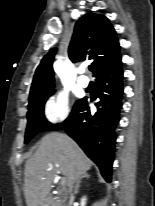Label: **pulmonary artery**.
I'll return each mask as SVG.
<instances>
[{
  "label": "pulmonary artery",
  "instance_id": "pulmonary-artery-1",
  "mask_svg": "<svg viewBox=\"0 0 155 206\" xmlns=\"http://www.w3.org/2000/svg\"><path fill=\"white\" fill-rule=\"evenodd\" d=\"M82 73H84V70L82 71ZM78 83L82 87H87L89 85V79L87 76L82 74L78 77Z\"/></svg>",
  "mask_w": 155,
  "mask_h": 206
}]
</instances>
